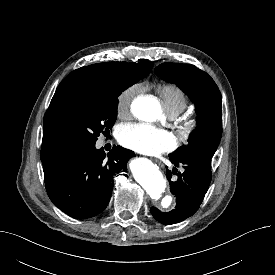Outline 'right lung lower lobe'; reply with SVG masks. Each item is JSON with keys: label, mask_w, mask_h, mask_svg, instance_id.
<instances>
[{"label": "right lung lower lobe", "mask_w": 275, "mask_h": 275, "mask_svg": "<svg viewBox=\"0 0 275 275\" xmlns=\"http://www.w3.org/2000/svg\"><path fill=\"white\" fill-rule=\"evenodd\" d=\"M133 151L114 146L107 154L95 145L72 148L43 164L45 186L50 200L64 213L85 219L107 206L113 176L127 170Z\"/></svg>", "instance_id": "1"}]
</instances>
